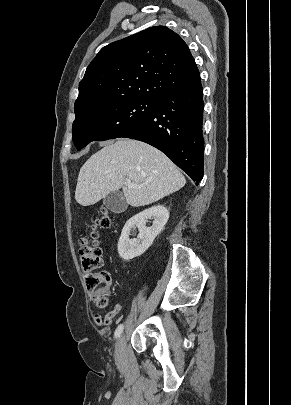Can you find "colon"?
<instances>
[{"label":"colon","mask_w":291,"mask_h":405,"mask_svg":"<svg viewBox=\"0 0 291 405\" xmlns=\"http://www.w3.org/2000/svg\"><path fill=\"white\" fill-rule=\"evenodd\" d=\"M112 219L102 213L94 221L89 234L80 239L79 258L89 295L99 307L107 304L111 289V277L102 267V251L98 245L97 228H108Z\"/></svg>","instance_id":"5ec220e1"}]
</instances>
